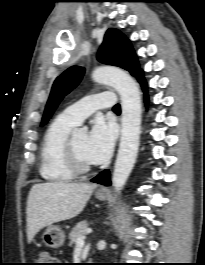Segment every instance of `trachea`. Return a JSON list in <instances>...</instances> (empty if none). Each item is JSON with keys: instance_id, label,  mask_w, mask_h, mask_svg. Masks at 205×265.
<instances>
[{"instance_id": "3493384b", "label": "trachea", "mask_w": 205, "mask_h": 265, "mask_svg": "<svg viewBox=\"0 0 205 265\" xmlns=\"http://www.w3.org/2000/svg\"><path fill=\"white\" fill-rule=\"evenodd\" d=\"M113 110H120V105L119 104H116L113 108Z\"/></svg>"}]
</instances>
